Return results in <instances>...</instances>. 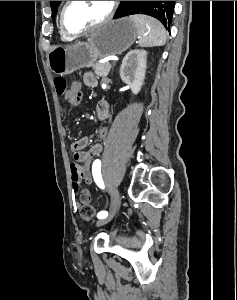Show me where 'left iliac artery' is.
I'll list each match as a JSON object with an SVG mask.
<instances>
[{
	"label": "left iliac artery",
	"mask_w": 237,
	"mask_h": 300,
	"mask_svg": "<svg viewBox=\"0 0 237 300\" xmlns=\"http://www.w3.org/2000/svg\"><path fill=\"white\" fill-rule=\"evenodd\" d=\"M92 174H93V178L94 181L96 182V184L101 188L104 189V182L101 176V161L100 160H95L93 165H92ZM108 216V212L107 211H101L97 214V217L99 219H104Z\"/></svg>",
	"instance_id": "left-iliac-artery-1"
}]
</instances>
